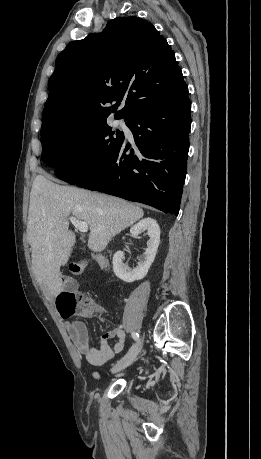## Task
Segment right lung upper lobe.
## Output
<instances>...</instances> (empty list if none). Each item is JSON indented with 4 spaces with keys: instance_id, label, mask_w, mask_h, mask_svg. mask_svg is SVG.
<instances>
[{
    "instance_id": "right-lung-upper-lobe-1",
    "label": "right lung upper lobe",
    "mask_w": 261,
    "mask_h": 459,
    "mask_svg": "<svg viewBox=\"0 0 261 459\" xmlns=\"http://www.w3.org/2000/svg\"><path fill=\"white\" fill-rule=\"evenodd\" d=\"M185 85L174 52L155 27L137 17L117 18L104 31L72 41L58 55L49 80L41 132L63 125L128 120Z\"/></svg>"
}]
</instances>
